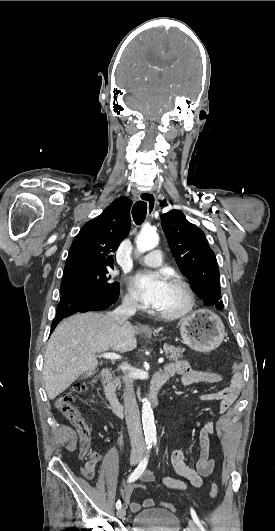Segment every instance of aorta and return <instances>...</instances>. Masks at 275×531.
<instances>
[{"mask_svg":"<svg viewBox=\"0 0 275 531\" xmlns=\"http://www.w3.org/2000/svg\"><path fill=\"white\" fill-rule=\"evenodd\" d=\"M159 243V237L156 231L149 229V231H140L136 239L137 253H146L155 249ZM142 423L144 433L147 437H156V427L154 423L153 409L148 399H142Z\"/></svg>","mask_w":275,"mask_h":531,"instance_id":"obj_1","label":"aorta"}]
</instances>
